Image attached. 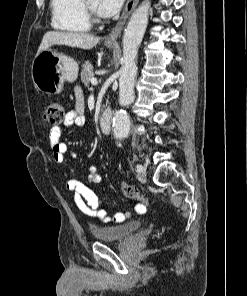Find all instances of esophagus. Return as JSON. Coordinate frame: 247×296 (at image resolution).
<instances>
[{
    "label": "esophagus",
    "mask_w": 247,
    "mask_h": 296,
    "mask_svg": "<svg viewBox=\"0 0 247 296\" xmlns=\"http://www.w3.org/2000/svg\"><path fill=\"white\" fill-rule=\"evenodd\" d=\"M139 0H128L124 10L122 12V15L120 17V20L116 24V26L112 29V31L106 36L105 43L106 44H114L117 41L118 36L120 35L125 22L127 21L128 17L131 15L133 10L136 8Z\"/></svg>",
    "instance_id": "34e87169"
}]
</instances>
